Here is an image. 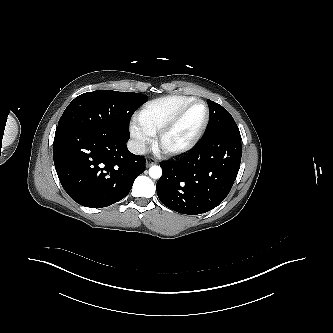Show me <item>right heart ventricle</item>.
I'll return each instance as SVG.
<instances>
[{
	"instance_id": "1",
	"label": "right heart ventricle",
	"mask_w": 333,
	"mask_h": 333,
	"mask_svg": "<svg viewBox=\"0 0 333 333\" xmlns=\"http://www.w3.org/2000/svg\"><path fill=\"white\" fill-rule=\"evenodd\" d=\"M191 96L170 95L154 99L142 106L137 114V122L149 135H155L187 103Z\"/></svg>"
}]
</instances>
